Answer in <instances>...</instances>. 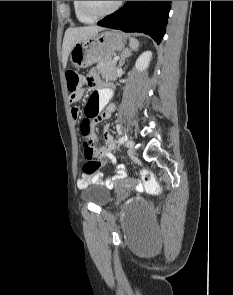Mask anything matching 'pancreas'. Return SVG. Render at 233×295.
<instances>
[{"mask_svg": "<svg viewBox=\"0 0 233 295\" xmlns=\"http://www.w3.org/2000/svg\"><path fill=\"white\" fill-rule=\"evenodd\" d=\"M97 69L104 77H109L110 79H116L118 74L116 72V61L115 60H105L100 61L97 64Z\"/></svg>", "mask_w": 233, "mask_h": 295, "instance_id": "1", "label": "pancreas"}]
</instances>
